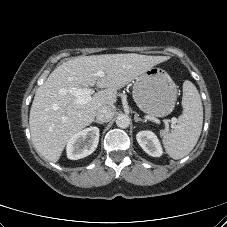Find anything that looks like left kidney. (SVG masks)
I'll list each match as a JSON object with an SVG mask.
<instances>
[{
    "instance_id": "1",
    "label": "left kidney",
    "mask_w": 227,
    "mask_h": 227,
    "mask_svg": "<svg viewBox=\"0 0 227 227\" xmlns=\"http://www.w3.org/2000/svg\"><path fill=\"white\" fill-rule=\"evenodd\" d=\"M137 142L142 149L152 157H160L163 150L157 136L151 131H140L136 135Z\"/></svg>"
}]
</instances>
